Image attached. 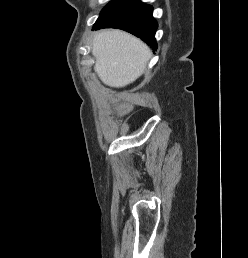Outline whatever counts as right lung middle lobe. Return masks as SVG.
Instances as JSON below:
<instances>
[{
    "mask_svg": "<svg viewBox=\"0 0 248 258\" xmlns=\"http://www.w3.org/2000/svg\"><path fill=\"white\" fill-rule=\"evenodd\" d=\"M120 0H112L109 4H107L104 9L102 10L100 17H102L104 14H106L108 11H110ZM98 18V19H99Z\"/></svg>",
    "mask_w": 248,
    "mask_h": 258,
    "instance_id": "right-lung-middle-lobe-1",
    "label": "right lung middle lobe"
}]
</instances>
